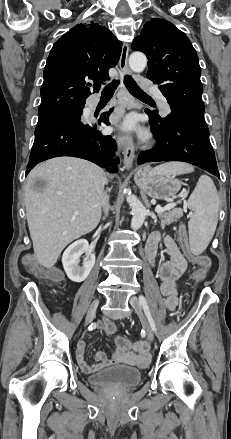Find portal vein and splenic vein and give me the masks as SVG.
<instances>
[{"instance_id": "1", "label": "portal vein and splenic vein", "mask_w": 231, "mask_h": 439, "mask_svg": "<svg viewBox=\"0 0 231 439\" xmlns=\"http://www.w3.org/2000/svg\"><path fill=\"white\" fill-rule=\"evenodd\" d=\"M181 197L183 196V194H181L180 195ZM175 207V204L174 203H172V204H169V205H167V206H165V207H161V206H156V208H155V212L156 213H163V212H165V211H167V210H170V209H172V208H174ZM79 212L78 211H75V214H78Z\"/></svg>"}]
</instances>
